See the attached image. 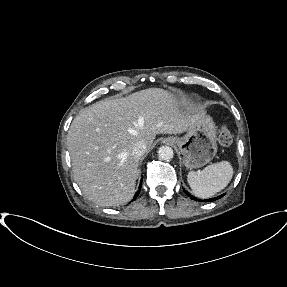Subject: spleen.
I'll return each mask as SVG.
<instances>
[{"instance_id":"obj_1","label":"spleen","mask_w":287,"mask_h":287,"mask_svg":"<svg viewBox=\"0 0 287 287\" xmlns=\"http://www.w3.org/2000/svg\"><path fill=\"white\" fill-rule=\"evenodd\" d=\"M233 177V167L228 161L208 165L201 171H191L187 181L199 198H210L223 190Z\"/></svg>"}]
</instances>
